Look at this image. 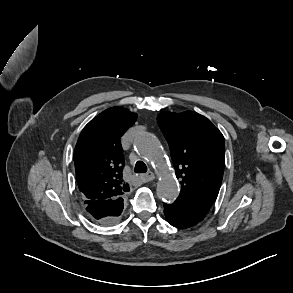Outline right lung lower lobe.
Wrapping results in <instances>:
<instances>
[{
  "instance_id": "1",
  "label": "right lung lower lobe",
  "mask_w": 293,
  "mask_h": 293,
  "mask_svg": "<svg viewBox=\"0 0 293 293\" xmlns=\"http://www.w3.org/2000/svg\"><path fill=\"white\" fill-rule=\"evenodd\" d=\"M123 199H108L101 201H89L86 210L89 217L103 225L114 224L123 211Z\"/></svg>"
}]
</instances>
